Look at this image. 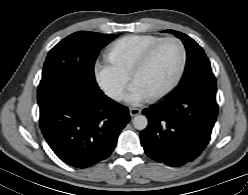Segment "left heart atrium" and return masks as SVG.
I'll return each mask as SVG.
<instances>
[{
    "instance_id": "obj_1",
    "label": "left heart atrium",
    "mask_w": 248,
    "mask_h": 195,
    "mask_svg": "<svg viewBox=\"0 0 248 195\" xmlns=\"http://www.w3.org/2000/svg\"><path fill=\"white\" fill-rule=\"evenodd\" d=\"M130 98L133 102L140 103L144 100V95L140 91L135 90L131 93Z\"/></svg>"
}]
</instances>
